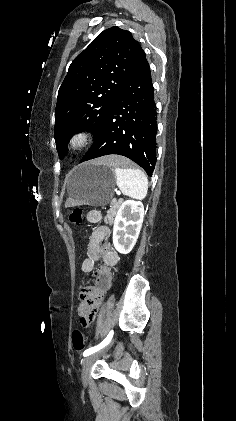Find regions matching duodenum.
<instances>
[{
  "instance_id": "1",
  "label": "duodenum",
  "mask_w": 236,
  "mask_h": 421,
  "mask_svg": "<svg viewBox=\"0 0 236 421\" xmlns=\"http://www.w3.org/2000/svg\"><path fill=\"white\" fill-rule=\"evenodd\" d=\"M100 255L104 266L97 271V285L94 289L88 290L82 298L84 317L89 313L94 315L99 309L103 296L111 285L112 269L119 261L118 254L110 249H102ZM91 260L94 261L95 257L91 256Z\"/></svg>"
}]
</instances>
